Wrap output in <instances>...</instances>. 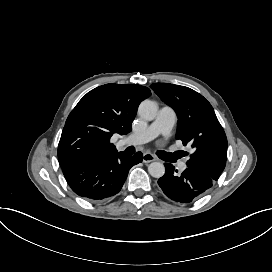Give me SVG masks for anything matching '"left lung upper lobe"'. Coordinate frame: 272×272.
Masks as SVG:
<instances>
[{"instance_id": "5c2ea615", "label": "left lung upper lobe", "mask_w": 272, "mask_h": 272, "mask_svg": "<svg viewBox=\"0 0 272 272\" xmlns=\"http://www.w3.org/2000/svg\"><path fill=\"white\" fill-rule=\"evenodd\" d=\"M151 88L177 113L176 139L195 149L187 166L217 181L226 165L227 138L211 104L188 87L155 83Z\"/></svg>"}]
</instances>
